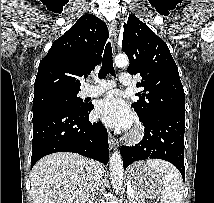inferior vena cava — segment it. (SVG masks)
<instances>
[{
	"instance_id": "602c4592",
	"label": "inferior vena cava",
	"mask_w": 214,
	"mask_h": 203,
	"mask_svg": "<svg viewBox=\"0 0 214 203\" xmlns=\"http://www.w3.org/2000/svg\"><path fill=\"white\" fill-rule=\"evenodd\" d=\"M89 165L92 168L90 180H91L92 192L94 194V192L98 190V186L100 185L104 168L99 162H96L93 160L89 161Z\"/></svg>"
}]
</instances>
